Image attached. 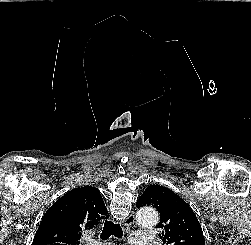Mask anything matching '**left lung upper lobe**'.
Listing matches in <instances>:
<instances>
[{"label":"left lung upper lobe","mask_w":251,"mask_h":245,"mask_svg":"<svg viewBox=\"0 0 251 245\" xmlns=\"http://www.w3.org/2000/svg\"><path fill=\"white\" fill-rule=\"evenodd\" d=\"M150 205L160 213L161 228L158 236L163 245H205L204 236L197 217L189 205L172 190L150 185L136 206Z\"/></svg>","instance_id":"1"}]
</instances>
